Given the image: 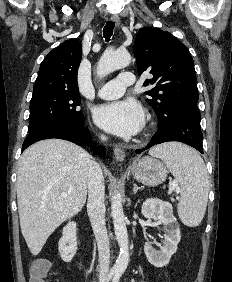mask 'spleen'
I'll list each match as a JSON object with an SVG mask.
<instances>
[{
    "label": "spleen",
    "mask_w": 232,
    "mask_h": 282,
    "mask_svg": "<svg viewBox=\"0 0 232 282\" xmlns=\"http://www.w3.org/2000/svg\"><path fill=\"white\" fill-rule=\"evenodd\" d=\"M149 154L161 158L180 183L178 215L189 227L198 226L205 214L209 181L203 159L192 148L180 143H167L152 148Z\"/></svg>",
    "instance_id": "3e777b00"
}]
</instances>
